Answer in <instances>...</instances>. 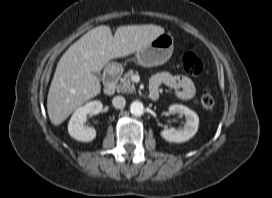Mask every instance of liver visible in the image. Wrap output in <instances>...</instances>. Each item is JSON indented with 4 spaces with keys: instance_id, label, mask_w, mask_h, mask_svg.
Returning a JSON list of instances; mask_svg holds the SVG:
<instances>
[{
    "instance_id": "1",
    "label": "liver",
    "mask_w": 272,
    "mask_h": 198,
    "mask_svg": "<svg viewBox=\"0 0 272 198\" xmlns=\"http://www.w3.org/2000/svg\"><path fill=\"white\" fill-rule=\"evenodd\" d=\"M164 32V28L149 24L120 26L114 36L106 25L85 33L57 64L47 97L51 123L60 125L77 107L100 93L101 85L94 73L100 72L111 59L147 47Z\"/></svg>"
}]
</instances>
